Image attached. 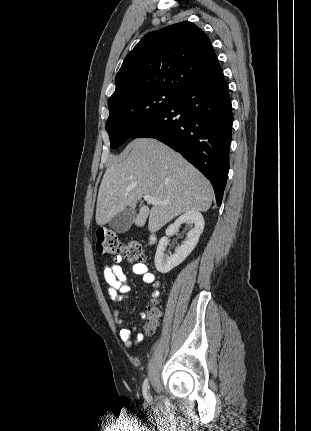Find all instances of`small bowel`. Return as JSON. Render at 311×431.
Instances as JSON below:
<instances>
[{
  "mask_svg": "<svg viewBox=\"0 0 311 431\" xmlns=\"http://www.w3.org/2000/svg\"><path fill=\"white\" fill-rule=\"evenodd\" d=\"M122 261L121 256H116L111 265H106L103 270L104 279L108 285V293L110 299L114 305H119L120 302L127 298L131 286L126 281V275L121 267L120 263ZM132 272L135 275L142 277L143 281L147 284L153 285V290L151 295L157 297L159 295L158 286L159 283L156 281L154 274L149 270V267L144 263H136L132 266ZM118 309H115V316H118ZM119 324H123L121 319H118ZM133 331L129 328H121L119 336L126 346H131L134 342L132 340ZM143 335L139 334L137 336L136 342L141 341Z\"/></svg>",
  "mask_w": 311,
  "mask_h": 431,
  "instance_id": "obj_1",
  "label": "small bowel"
}]
</instances>
